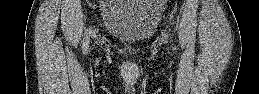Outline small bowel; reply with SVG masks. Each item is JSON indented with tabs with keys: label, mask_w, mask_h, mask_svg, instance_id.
Here are the masks:
<instances>
[{
	"label": "small bowel",
	"mask_w": 259,
	"mask_h": 94,
	"mask_svg": "<svg viewBox=\"0 0 259 94\" xmlns=\"http://www.w3.org/2000/svg\"><path fill=\"white\" fill-rule=\"evenodd\" d=\"M159 6H160V8H161V10H162V7H161V5L159 4V3H157Z\"/></svg>",
	"instance_id": "c3829d8e"
}]
</instances>
